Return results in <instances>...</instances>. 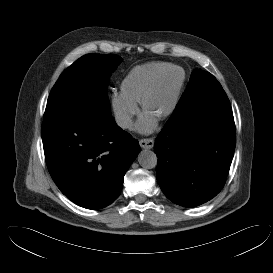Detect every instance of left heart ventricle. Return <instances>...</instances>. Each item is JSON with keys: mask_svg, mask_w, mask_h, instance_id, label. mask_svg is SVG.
Returning a JSON list of instances; mask_svg holds the SVG:
<instances>
[{"mask_svg": "<svg viewBox=\"0 0 273 273\" xmlns=\"http://www.w3.org/2000/svg\"><path fill=\"white\" fill-rule=\"evenodd\" d=\"M179 82L178 72L165 74L146 104V112L154 117L162 115L171 105Z\"/></svg>", "mask_w": 273, "mask_h": 273, "instance_id": "left-heart-ventricle-1", "label": "left heart ventricle"}]
</instances>
